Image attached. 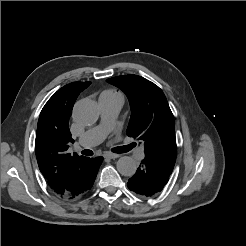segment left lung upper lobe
<instances>
[{
    "mask_svg": "<svg viewBox=\"0 0 246 246\" xmlns=\"http://www.w3.org/2000/svg\"><path fill=\"white\" fill-rule=\"evenodd\" d=\"M128 97L131 118L127 135L144 144L145 157H151L173 169L177 146L174 117L162 90L149 80L137 75L107 79Z\"/></svg>",
    "mask_w": 246,
    "mask_h": 246,
    "instance_id": "obj_1",
    "label": "left lung upper lobe"
}]
</instances>
